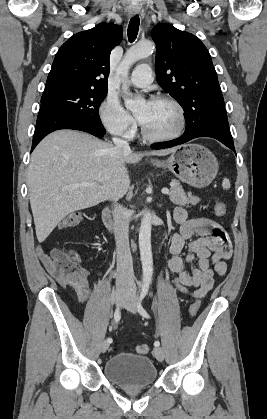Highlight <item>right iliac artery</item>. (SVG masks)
Here are the masks:
<instances>
[{
	"label": "right iliac artery",
	"mask_w": 267,
	"mask_h": 419,
	"mask_svg": "<svg viewBox=\"0 0 267 419\" xmlns=\"http://www.w3.org/2000/svg\"><path fill=\"white\" fill-rule=\"evenodd\" d=\"M120 318H121V311H120V308L118 307L116 309L115 313H114V320H115V322L118 323L119 320H120ZM107 342L108 343H111L112 342V339L111 338H108L107 339Z\"/></svg>",
	"instance_id": "82829eb1"
}]
</instances>
